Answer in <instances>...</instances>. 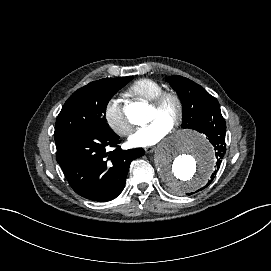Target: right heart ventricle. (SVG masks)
I'll use <instances>...</instances> for the list:
<instances>
[{
  "instance_id": "right-heart-ventricle-1",
  "label": "right heart ventricle",
  "mask_w": 271,
  "mask_h": 271,
  "mask_svg": "<svg viewBox=\"0 0 271 271\" xmlns=\"http://www.w3.org/2000/svg\"><path fill=\"white\" fill-rule=\"evenodd\" d=\"M128 93L146 102H151L163 91V86L158 81L151 78H141L131 84Z\"/></svg>"
}]
</instances>
